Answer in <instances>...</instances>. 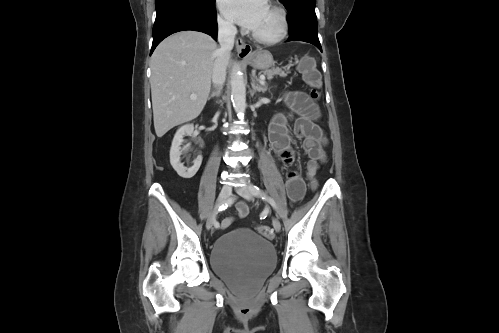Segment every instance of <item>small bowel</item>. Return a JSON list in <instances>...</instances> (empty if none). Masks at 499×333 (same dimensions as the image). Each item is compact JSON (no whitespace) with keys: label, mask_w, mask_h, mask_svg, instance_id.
<instances>
[{"label":"small bowel","mask_w":499,"mask_h":333,"mask_svg":"<svg viewBox=\"0 0 499 333\" xmlns=\"http://www.w3.org/2000/svg\"><path fill=\"white\" fill-rule=\"evenodd\" d=\"M285 102L298 115L293 127V135L301 142L309 159L318 163L326 162L325 147L328 140L324 130L317 124L321 115L318 106L310 100L306 93L301 91L287 93ZM269 141L279 159L286 166H291L295 160V151L287 127V117L284 113H278L273 117L269 127ZM285 187L288 197L293 201L300 200L304 195L303 178L295 170L288 173ZM247 214V205L244 202H239L237 204L238 218H244ZM233 220L232 217L225 219L222 228L228 227Z\"/></svg>","instance_id":"small-bowel-1"}]
</instances>
